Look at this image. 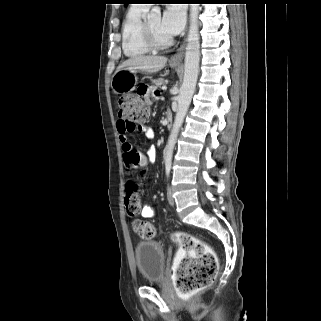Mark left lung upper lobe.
I'll list each match as a JSON object with an SVG mask.
<instances>
[{"mask_svg": "<svg viewBox=\"0 0 321 321\" xmlns=\"http://www.w3.org/2000/svg\"><path fill=\"white\" fill-rule=\"evenodd\" d=\"M124 1V4L127 5L130 3L131 0H123Z\"/></svg>", "mask_w": 321, "mask_h": 321, "instance_id": "5c2ea615", "label": "left lung upper lobe"}]
</instances>
